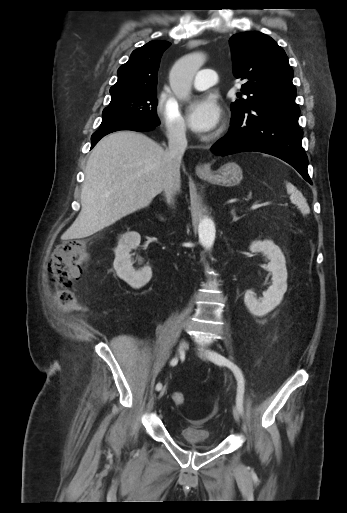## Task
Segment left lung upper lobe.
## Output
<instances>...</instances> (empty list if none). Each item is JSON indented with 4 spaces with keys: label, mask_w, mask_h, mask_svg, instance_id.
Returning a JSON list of instances; mask_svg holds the SVG:
<instances>
[{
    "label": "left lung upper lobe",
    "mask_w": 347,
    "mask_h": 513,
    "mask_svg": "<svg viewBox=\"0 0 347 513\" xmlns=\"http://www.w3.org/2000/svg\"><path fill=\"white\" fill-rule=\"evenodd\" d=\"M230 46L234 76L246 81L241 92L247 95V99L231 104L232 114L262 103H295L293 70L286 53L271 37L261 32H242L230 38Z\"/></svg>",
    "instance_id": "5c2ea615"
}]
</instances>
